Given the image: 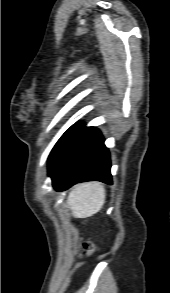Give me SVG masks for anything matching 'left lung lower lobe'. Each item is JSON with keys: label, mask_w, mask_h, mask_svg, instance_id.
<instances>
[{"label": "left lung lower lobe", "mask_w": 170, "mask_h": 293, "mask_svg": "<svg viewBox=\"0 0 170 293\" xmlns=\"http://www.w3.org/2000/svg\"><path fill=\"white\" fill-rule=\"evenodd\" d=\"M110 155L95 127L83 126L49 167L53 187L58 191L91 180L112 184Z\"/></svg>", "instance_id": "obj_1"}]
</instances>
